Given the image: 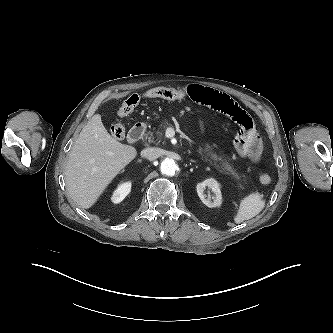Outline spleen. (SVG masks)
Returning a JSON list of instances; mask_svg holds the SVG:
<instances>
[{"label": "spleen", "instance_id": "spleen-1", "mask_svg": "<svg viewBox=\"0 0 333 333\" xmlns=\"http://www.w3.org/2000/svg\"><path fill=\"white\" fill-rule=\"evenodd\" d=\"M265 207V201L262 200L260 194L252 193L240 202V207L234 221L237 224L242 223L244 220H249L258 215Z\"/></svg>", "mask_w": 333, "mask_h": 333}]
</instances>
